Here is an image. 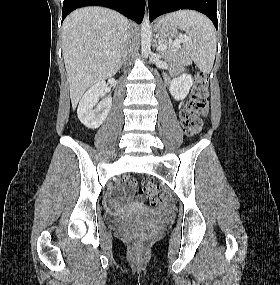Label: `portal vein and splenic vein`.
Here are the masks:
<instances>
[{
    "label": "portal vein and splenic vein",
    "instance_id": "18ae733b",
    "mask_svg": "<svg viewBox=\"0 0 280 285\" xmlns=\"http://www.w3.org/2000/svg\"><path fill=\"white\" fill-rule=\"evenodd\" d=\"M188 39H189L188 37H184L182 40H175L170 45L173 46V47H180V43L188 41ZM165 49H167L166 45H161V46L158 47V50H160V51H163Z\"/></svg>",
    "mask_w": 280,
    "mask_h": 285
}]
</instances>
